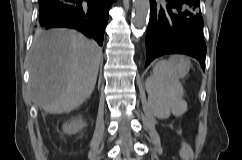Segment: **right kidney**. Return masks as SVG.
Returning a JSON list of instances; mask_svg holds the SVG:
<instances>
[{
  "label": "right kidney",
  "mask_w": 242,
  "mask_h": 160,
  "mask_svg": "<svg viewBox=\"0 0 242 160\" xmlns=\"http://www.w3.org/2000/svg\"><path fill=\"white\" fill-rule=\"evenodd\" d=\"M86 126L85 122L81 118H75L70 123L63 125V132L67 134H76Z\"/></svg>",
  "instance_id": "right-kidney-1"
}]
</instances>
